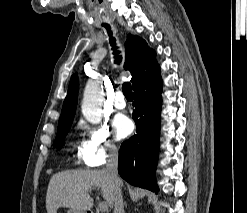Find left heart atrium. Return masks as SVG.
Returning a JSON list of instances; mask_svg holds the SVG:
<instances>
[{
    "mask_svg": "<svg viewBox=\"0 0 247 213\" xmlns=\"http://www.w3.org/2000/svg\"><path fill=\"white\" fill-rule=\"evenodd\" d=\"M113 129L117 138L122 139L128 136L133 129L131 120L125 115H118L113 120Z\"/></svg>",
    "mask_w": 247,
    "mask_h": 213,
    "instance_id": "obj_1",
    "label": "left heart atrium"
}]
</instances>
